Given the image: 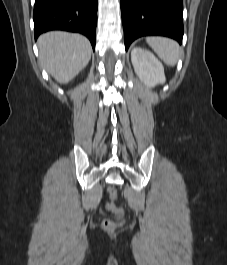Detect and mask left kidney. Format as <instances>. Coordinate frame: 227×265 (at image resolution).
I'll list each match as a JSON object with an SVG mask.
<instances>
[{"instance_id":"1","label":"left kidney","mask_w":227,"mask_h":265,"mask_svg":"<svg viewBox=\"0 0 227 265\" xmlns=\"http://www.w3.org/2000/svg\"><path fill=\"white\" fill-rule=\"evenodd\" d=\"M131 61L137 76L148 87L165 82L162 63L150 52L136 47L131 52Z\"/></svg>"}]
</instances>
